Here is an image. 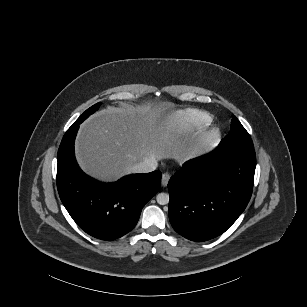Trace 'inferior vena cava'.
Here are the masks:
<instances>
[{
    "label": "inferior vena cava",
    "instance_id": "inferior-vena-cava-1",
    "mask_svg": "<svg viewBox=\"0 0 307 307\" xmlns=\"http://www.w3.org/2000/svg\"><path fill=\"white\" fill-rule=\"evenodd\" d=\"M157 161L155 158H147L144 160V162L132 166L131 172L134 174H143V173H149L156 169Z\"/></svg>",
    "mask_w": 307,
    "mask_h": 307
}]
</instances>
